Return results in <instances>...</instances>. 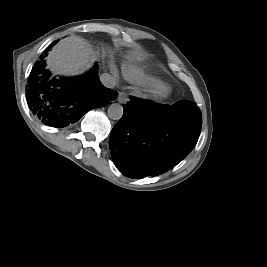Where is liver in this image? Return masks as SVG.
<instances>
[{"label": "liver", "instance_id": "obj_1", "mask_svg": "<svg viewBox=\"0 0 267 267\" xmlns=\"http://www.w3.org/2000/svg\"><path fill=\"white\" fill-rule=\"evenodd\" d=\"M96 58L90 44L79 36L60 40L47 57V68L61 75H78L89 69ZM131 61L141 60L140 51L132 52Z\"/></svg>", "mask_w": 267, "mask_h": 267}]
</instances>
